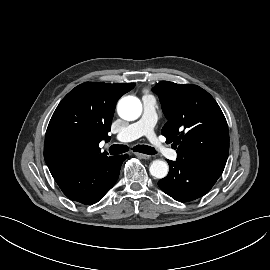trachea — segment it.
Instances as JSON below:
<instances>
[{"label":"trachea","instance_id":"trachea-1","mask_svg":"<svg viewBox=\"0 0 270 270\" xmlns=\"http://www.w3.org/2000/svg\"><path fill=\"white\" fill-rule=\"evenodd\" d=\"M128 150L129 147L127 145H119V144L112 145L109 148V152L111 155L121 154L127 152ZM134 151L148 155H154L156 153L154 148L147 145H137L134 147Z\"/></svg>","mask_w":270,"mask_h":270}]
</instances>
